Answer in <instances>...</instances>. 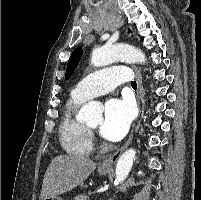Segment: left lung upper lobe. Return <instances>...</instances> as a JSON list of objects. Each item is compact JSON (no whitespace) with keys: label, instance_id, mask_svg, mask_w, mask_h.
<instances>
[{"label":"left lung upper lobe","instance_id":"5c2ea615","mask_svg":"<svg viewBox=\"0 0 201 200\" xmlns=\"http://www.w3.org/2000/svg\"><path fill=\"white\" fill-rule=\"evenodd\" d=\"M82 54H83V50L81 47H78L77 49H75L73 51V53L71 54L70 59L67 64V69H66V74H65L66 80H68L71 77V75L73 74L74 70L76 69V67L82 57Z\"/></svg>","mask_w":201,"mask_h":200}]
</instances>
